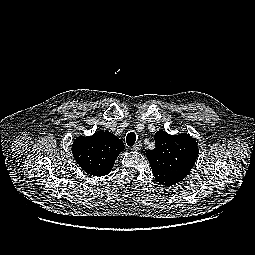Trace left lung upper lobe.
Segmentation results:
<instances>
[{
    "instance_id": "1",
    "label": "left lung upper lobe",
    "mask_w": 255,
    "mask_h": 255,
    "mask_svg": "<svg viewBox=\"0 0 255 255\" xmlns=\"http://www.w3.org/2000/svg\"><path fill=\"white\" fill-rule=\"evenodd\" d=\"M154 139L156 148L146 151L154 177L168 187L182 181L196 162L197 143L187 133L170 135L163 130L156 132Z\"/></svg>"
}]
</instances>
